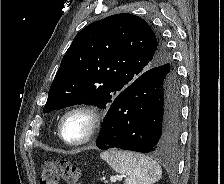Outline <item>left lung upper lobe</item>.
<instances>
[{
    "instance_id": "5c2ea615",
    "label": "left lung upper lobe",
    "mask_w": 224,
    "mask_h": 184,
    "mask_svg": "<svg viewBox=\"0 0 224 184\" xmlns=\"http://www.w3.org/2000/svg\"><path fill=\"white\" fill-rule=\"evenodd\" d=\"M171 65L164 42L142 18L122 13L82 29L65 53L44 113L76 104L109 106L149 69Z\"/></svg>"
}]
</instances>
